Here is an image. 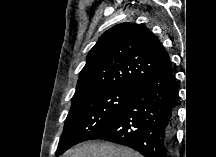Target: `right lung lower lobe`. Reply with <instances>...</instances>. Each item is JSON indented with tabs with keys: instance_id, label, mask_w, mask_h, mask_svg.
I'll use <instances>...</instances> for the list:
<instances>
[{
	"instance_id": "1",
	"label": "right lung lower lobe",
	"mask_w": 216,
	"mask_h": 157,
	"mask_svg": "<svg viewBox=\"0 0 216 157\" xmlns=\"http://www.w3.org/2000/svg\"><path fill=\"white\" fill-rule=\"evenodd\" d=\"M175 94L169 61L161 70L132 87L123 111L91 140L123 144L144 157H170Z\"/></svg>"
}]
</instances>
